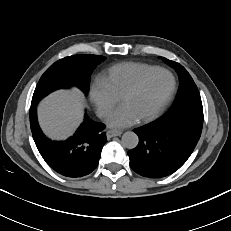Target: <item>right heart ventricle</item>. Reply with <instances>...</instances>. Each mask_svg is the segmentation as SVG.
Returning <instances> with one entry per match:
<instances>
[{
  "mask_svg": "<svg viewBox=\"0 0 231 231\" xmlns=\"http://www.w3.org/2000/svg\"><path fill=\"white\" fill-rule=\"evenodd\" d=\"M156 68L159 67L146 63L125 62L109 68L102 78L111 91L121 98L138 79Z\"/></svg>",
  "mask_w": 231,
  "mask_h": 231,
  "instance_id": "e07e8e85",
  "label": "right heart ventricle"
}]
</instances>
